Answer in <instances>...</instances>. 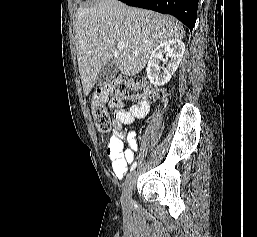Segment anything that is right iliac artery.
Instances as JSON below:
<instances>
[{
	"mask_svg": "<svg viewBox=\"0 0 257 237\" xmlns=\"http://www.w3.org/2000/svg\"><path fill=\"white\" fill-rule=\"evenodd\" d=\"M137 166V162H134L130 168V171L134 170Z\"/></svg>",
	"mask_w": 257,
	"mask_h": 237,
	"instance_id": "82829eb1",
	"label": "right iliac artery"
}]
</instances>
